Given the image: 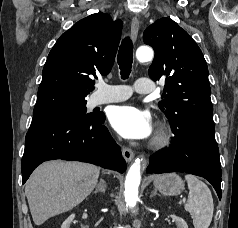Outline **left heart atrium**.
<instances>
[{
    "label": "left heart atrium",
    "mask_w": 238,
    "mask_h": 228,
    "mask_svg": "<svg viewBox=\"0 0 238 228\" xmlns=\"http://www.w3.org/2000/svg\"><path fill=\"white\" fill-rule=\"evenodd\" d=\"M109 120L116 132L126 139H146L153 131L150 114L132 105L114 107Z\"/></svg>",
    "instance_id": "1"
}]
</instances>
